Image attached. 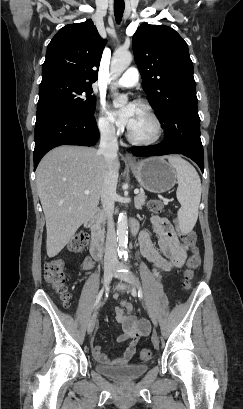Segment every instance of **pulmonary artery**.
Segmentation results:
<instances>
[{
    "mask_svg": "<svg viewBox=\"0 0 243 409\" xmlns=\"http://www.w3.org/2000/svg\"><path fill=\"white\" fill-rule=\"evenodd\" d=\"M138 81L139 72L136 68L131 67L115 83L121 87L129 88L136 85Z\"/></svg>",
    "mask_w": 243,
    "mask_h": 409,
    "instance_id": "pulmonary-artery-1",
    "label": "pulmonary artery"
}]
</instances>
